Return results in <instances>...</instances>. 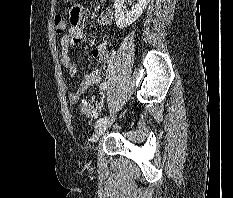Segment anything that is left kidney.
I'll return each instance as SVG.
<instances>
[{
	"mask_svg": "<svg viewBox=\"0 0 233 198\" xmlns=\"http://www.w3.org/2000/svg\"><path fill=\"white\" fill-rule=\"evenodd\" d=\"M125 0H114L115 22L117 27L123 29L135 22L146 9L150 0H138L130 11L124 7Z\"/></svg>",
	"mask_w": 233,
	"mask_h": 198,
	"instance_id": "obj_1",
	"label": "left kidney"
}]
</instances>
